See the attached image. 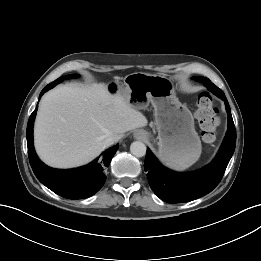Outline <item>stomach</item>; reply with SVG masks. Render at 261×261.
Returning <instances> with one entry per match:
<instances>
[{
    "label": "stomach",
    "instance_id": "1",
    "mask_svg": "<svg viewBox=\"0 0 261 261\" xmlns=\"http://www.w3.org/2000/svg\"><path fill=\"white\" fill-rule=\"evenodd\" d=\"M125 86L110 83L108 90L120 94L134 109L154 107L158 130V156L168 166L183 170L194 164L201 154V141L195 131L194 118L176 97L170 79L155 74L132 73Z\"/></svg>",
    "mask_w": 261,
    "mask_h": 261
}]
</instances>
